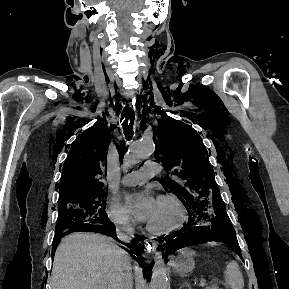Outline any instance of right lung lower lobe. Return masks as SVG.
Here are the masks:
<instances>
[{
  "label": "right lung lower lobe",
  "instance_id": "obj_1",
  "mask_svg": "<svg viewBox=\"0 0 289 289\" xmlns=\"http://www.w3.org/2000/svg\"><path fill=\"white\" fill-rule=\"evenodd\" d=\"M76 231L97 232V233L108 235V236L114 238L115 240H118L117 235H116V231H115V225L107 217L101 218L99 220H87L85 222H82V223L78 224L76 227H74L73 229H71L70 233L76 232ZM64 236L54 237L52 256H54V254H55V249H56L60 239ZM142 240L143 239L136 236L135 240L132 241L131 245L126 244V246L130 247L131 251L135 254V255H133L130 252L131 256L140 265L144 264V262L142 261V258H143L142 252L144 249V244L141 243ZM144 272H145V270H144Z\"/></svg>",
  "mask_w": 289,
  "mask_h": 289
}]
</instances>
